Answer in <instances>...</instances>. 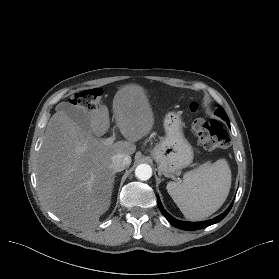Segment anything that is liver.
Instances as JSON below:
<instances>
[{
  "instance_id": "obj_1",
  "label": "liver",
  "mask_w": 279,
  "mask_h": 279,
  "mask_svg": "<svg viewBox=\"0 0 279 279\" xmlns=\"http://www.w3.org/2000/svg\"><path fill=\"white\" fill-rule=\"evenodd\" d=\"M60 104L47 124L39 151L38 191L46 207L67 226L91 228L111 203L115 178L111 157L132 155L134 143L153 128L154 115L143 87L122 86L113 99V117L126 140L107 144L100 138L110 127L106 107L88 112L90 128L83 129L59 109Z\"/></svg>"
}]
</instances>
